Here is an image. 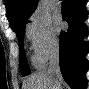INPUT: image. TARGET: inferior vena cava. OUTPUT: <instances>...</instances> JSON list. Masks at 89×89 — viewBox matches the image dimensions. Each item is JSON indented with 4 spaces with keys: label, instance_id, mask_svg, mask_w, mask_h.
<instances>
[{
    "label": "inferior vena cava",
    "instance_id": "1",
    "mask_svg": "<svg viewBox=\"0 0 89 89\" xmlns=\"http://www.w3.org/2000/svg\"><path fill=\"white\" fill-rule=\"evenodd\" d=\"M47 73L61 78L60 66H59V49L56 47L50 54L49 67Z\"/></svg>",
    "mask_w": 89,
    "mask_h": 89
}]
</instances>
